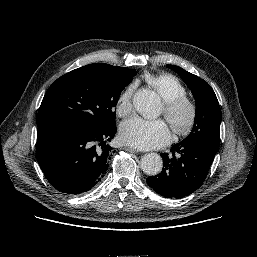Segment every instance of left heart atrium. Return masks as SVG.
Instances as JSON below:
<instances>
[{
	"label": "left heart atrium",
	"mask_w": 257,
	"mask_h": 257,
	"mask_svg": "<svg viewBox=\"0 0 257 257\" xmlns=\"http://www.w3.org/2000/svg\"><path fill=\"white\" fill-rule=\"evenodd\" d=\"M119 138L135 148L153 149L170 141V131L161 121L134 117L120 125Z\"/></svg>",
	"instance_id": "left-heart-atrium-1"
}]
</instances>
